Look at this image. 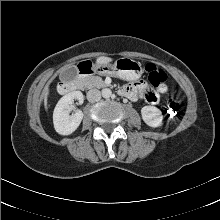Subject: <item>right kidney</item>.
Segmentation results:
<instances>
[{
	"label": "right kidney",
	"mask_w": 220,
	"mask_h": 220,
	"mask_svg": "<svg viewBox=\"0 0 220 220\" xmlns=\"http://www.w3.org/2000/svg\"><path fill=\"white\" fill-rule=\"evenodd\" d=\"M74 100H78L79 104L84 101V96L80 91H73L63 96L57 103L53 112V123L56 132L60 135L72 134L80 125L83 119L81 110L69 115L73 109Z\"/></svg>",
	"instance_id": "1"
}]
</instances>
